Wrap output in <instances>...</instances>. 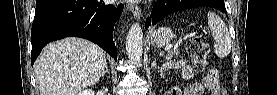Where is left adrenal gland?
Instances as JSON below:
<instances>
[{
  "label": "left adrenal gland",
  "instance_id": "obj_1",
  "mask_svg": "<svg viewBox=\"0 0 277 95\" xmlns=\"http://www.w3.org/2000/svg\"><path fill=\"white\" fill-rule=\"evenodd\" d=\"M152 66H155L156 67V60L154 59L153 63H152Z\"/></svg>",
  "mask_w": 277,
  "mask_h": 95
}]
</instances>
